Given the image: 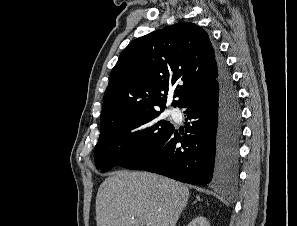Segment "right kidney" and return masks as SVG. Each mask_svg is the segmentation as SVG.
<instances>
[{"mask_svg":"<svg viewBox=\"0 0 297 226\" xmlns=\"http://www.w3.org/2000/svg\"><path fill=\"white\" fill-rule=\"evenodd\" d=\"M187 226H209L205 217L199 216L193 219Z\"/></svg>","mask_w":297,"mask_h":226,"instance_id":"obj_1","label":"right kidney"}]
</instances>
